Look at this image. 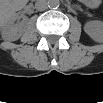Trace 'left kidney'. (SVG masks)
<instances>
[{
	"label": "left kidney",
	"instance_id": "left-kidney-1",
	"mask_svg": "<svg viewBox=\"0 0 103 103\" xmlns=\"http://www.w3.org/2000/svg\"><path fill=\"white\" fill-rule=\"evenodd\" d=\"M84 31L95 42H102L103 39V24L101 21H90L84 25Z\"/></svg>",
	"mask_w": 103,
	"mask_h": 103
}]
</instances>
